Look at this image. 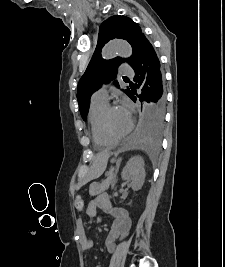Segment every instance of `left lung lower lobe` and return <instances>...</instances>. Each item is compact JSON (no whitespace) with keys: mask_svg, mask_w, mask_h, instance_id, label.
<instances>
[{"mask_svg":"<svg viewBox=\"0 0 225 267\" xmlns=\"http://www.w3.org/2000/svg\"><path fill=\"white\" fill-rule=\"evenodd\" d=\"M135 72V87L130 89L129 97L135 102L151 103L154 106L165 110L164 77L159 59L151 43L144 36L141 40L137 57L131 66ZM141 93L138 95L136 89Z\"/></svg>","mask_w":225,"mask_h":267,"instance_id":"0a47b994","label":"left lung lower lobe"}]
</instances>
